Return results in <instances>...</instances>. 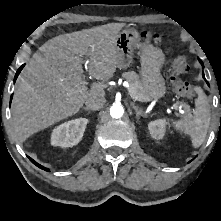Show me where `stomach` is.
Instances as JSON below:
<instances>
[{
  "label": "stomach",
  "instance_id": "obj_1",
  "mask_svg": "<svg viewBox=\"0 0 221 221\" xmlns=\"http://www.w3.org/2000/svg\"><path fill=\"white\" fill-rule=\"evenodd\" d=\"M136 48L140 49L138 52L141 62L140 75L146 100L160 99L166 93L165 81L160 73L165 56L160 48L140 42L139 32L134 28H124L116 38L117 67L127 68L132 62Z\"/></svg>",
  "mask_w": 221,
  "mask_h": 221
}]
</instances>
